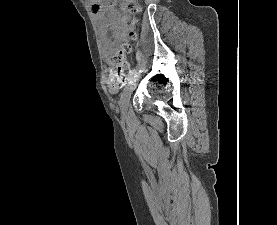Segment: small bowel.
Wrapping results in <instances>:
<instances>
[{
  "label": "small bowel",
  "instance_id": "1",
  "mask_svg": "<svg viewBox=\"0 0 277 225\" xmlns=\"http://www.w3.org/2000/svg\"><path fill=\"white\" fill-rule=\"evenodd\" d=\"M130 1L131 0H122L121 8H125ZM92 10L96 21L103 30L106 50L111 51L112 46L107 36V30H111L113 32L115 42H120L124 38L125 26L120 21V13L114 10L111 6H104L100 3L92 4ZM108 85L110 91L112 92H116L119 88L116 84L112 83L111 78L108 80Z\"/></svg>",
  "mask_w": 277,
  "mask_h": 225
}]
</instances>
